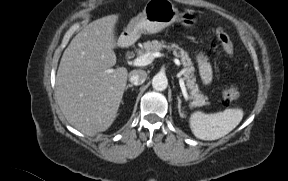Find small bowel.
Returning <instances> with one entry per match:
<instances>
[{"mask_svg":"<svg viewBox=\"0 0 288 181\" xmlns=\"http://www.w3.org/2000/svg\"><path fill=\"white\" fill-rule=\"evenodd\" d=\"M197 62L202 82L205 85L210 84L213 78V72L207 57L204 54H198Z\"/></svg>","mask_w":288,"mask_h":181,"instance_id":"small-bowel-1","label":"small bowel"}]
</instances>
